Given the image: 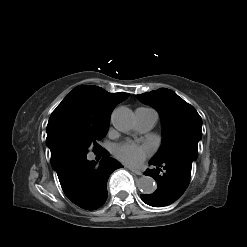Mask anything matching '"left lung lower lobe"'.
Here are the masks:
<instances>
[{
	"instance_id": "obj_1",
	"label": "left lung lower lobe",
	"mask_w": 247,
	"mask_h": 247,
	"mask_svg": "<svg viewBox=\"0 0 247 247\" xmlns=\"http://www.w3.org/2000/svg\"><path fill=\"white\" fill-rule=\"evenodd\" d=\"M150 164L157 168L147 170L144 174L153 177L158 187L153 194L141 195L142 201L153 207L173 203L184 193L189 184L192 162L174 157L163 161L152 159Z\"/></svg>"
}]
</instances>
